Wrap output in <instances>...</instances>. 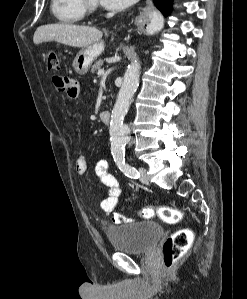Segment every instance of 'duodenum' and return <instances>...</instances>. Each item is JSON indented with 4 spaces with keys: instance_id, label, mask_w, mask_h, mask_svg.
Returning a JSON list of instances; mask_svg holds the SVG:
<instances>
[{
    "instance_id": "410a0bca",
    "label": "duodenum",
    "mask_w": 247,
    "mask_h": 299,
    "mask_svg": "<svg viewBox=\"0 0 247 299\" xmlns=\"http://www.w3.org/2000/svg\"><path fill=\"white\" fill-rule=\"evenodd\" d=\"M101 121L105 124H109L111 121V113L109 111H103L100 114Z\"/></svg>"
}]
</instances>
